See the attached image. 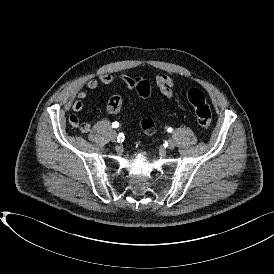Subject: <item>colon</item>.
I'll return each mask as SVG.
<instances>
[{
  "mask_svg": "<svg viewBox=\"0 0 274 274\" xmlns=\"http://www.w3.org/2000/svg\"><path fill=\"white\" fill-rule=\"evenodd\" d=\"M133 84L141 95L146 96L149 94L150 85L147 81L142 79H135L133 80ZM186 95L190 104L194 108L198 126L203 131L208 130L212 121V112L203 92L200 89L193 87L187 91ZM121 106L122 99H115L113 101H109L108 103V108L114 113H117L121 109ZM141 126L144 130L151 131L154 124L151 120L145 119L143 120ZM79 127H82V123Z\"/></svg>",
  "mask_w": 274,
  "mask_h": 274,
  "instance_id": "colon-1",
  "label": "colon"
}]
</instances>
